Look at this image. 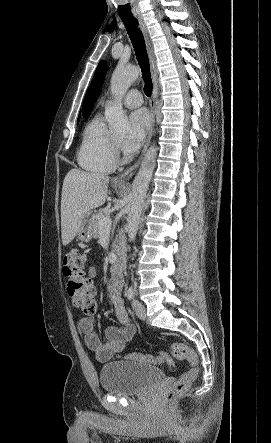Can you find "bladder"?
Masks as SVG:
<instances>
[{
	"instance_id": "1",
	"label": "bladder",
	"mask_w": 271,
	"mask_h": 443,
	"mask_svg": "<svg viewBox=\"0 0 271 443\" xmlns=\"http://www.w3.org/2000/svg\"><path fill=\"white\" fill-rule=\"evenodd\" d=\"M161 369L127 360L111 361L100 370V384L106 392L131 395L144 392L162 381Z\"/></svg>"
}]
</instances>
